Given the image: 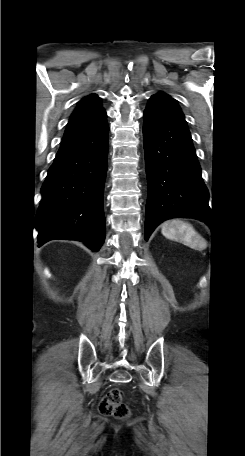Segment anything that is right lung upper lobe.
Listing matches in <instances>:
<instances>
[{"label": "right lung upper lobe", "instance_id": "right-lung-upper-lobe-1", "mask_svg": "<svg viewBox=\"0 0 245 456\" xmlns=\"http://www.w3.org/2000/svg\"><path fill=\"white\" fill-rule=\"evenodd\" d=\"M100 98L91 94L79 101L70 116L58 152L70 151L94 142L106 124Z\"/></svg>", "mask_w": 245, "mask_h": 456}]
</instances>
